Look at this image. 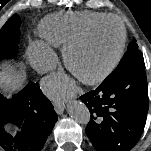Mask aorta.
I'll list each match as a JSON object with an SVG mask.
<instances>
[{"mask_svg":"<svg viewBox=\"0 0 151 151\" xmlns=\"http://www.w3.org/2000/svg\"><path fill=\"white\" fill-rule=\"evenodd\" d=\"M67 111L71 118L80 124H88L91 114L87 106L78 100H72L67 105Z\"/></svg>","mask_w":151,"mask_h":151,"instance_id":"762f6f07","label":"aorta"}]
</instances>
